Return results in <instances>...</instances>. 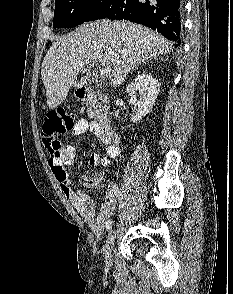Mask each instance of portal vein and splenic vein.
Here are the masks:
<instances>
[{"label": "portal vein and splenic vein", "instance_id": "1", "mask_svg": "<svg viewBox=\"0 0 233 294\" xmlns=\"http://www.w3.org/2000/svg\"><path fill=\"white\" fill-rule=\"evenodd\" d=\"M85 66L84 62H80L75 66V70L79 71L81 69H83ZM101 76H108L111 73V68L110 67H106L105 69L101 68L100 66L98 67Z\"/></svg>", "mask_w": 233, "mask_h": 294}]
</instances>
